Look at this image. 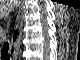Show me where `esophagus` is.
Here are the masks:
<instances>
[{
  "label": "esophagus",
  "instance_id": "obj_1",
  "mask_svg": "<svg viewBox=\"0 0 80 60\" xmlns=\"http://www.w3.org/2000/svg\"><path fill=\"white\" fill-rule=\"evenodd\" d=\"M24 12H25V9L22 3V5H20L19 10H18V14L16 17L15 26H14V31H13L12 38H11V49L9 52L13 57H16L17 51L20 45Z\"/></svg>",
  "mask_w": 80,
  "mask_h": 60
}]
</instances>
